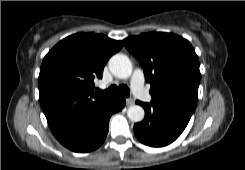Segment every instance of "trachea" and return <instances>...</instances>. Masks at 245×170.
<instances>
[{"label":"trachea","mask_w":245,"mask_h":170,"mask_svg":"<svg viewBox=\"0 0 245 170\" xmlns=\"http://www.w3.org/2000/svg\"><path fill=\"white\" fill-rule=\"evenodd\" d=\"M118 91L126 97L130 96V90L126 85H120L119 87L116 85H111L108 89L100 92H103L105 94H115L118 93Z\"/></svg>","instance_id":"1"}]
</instances>
